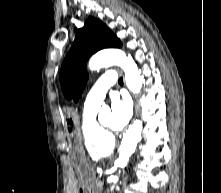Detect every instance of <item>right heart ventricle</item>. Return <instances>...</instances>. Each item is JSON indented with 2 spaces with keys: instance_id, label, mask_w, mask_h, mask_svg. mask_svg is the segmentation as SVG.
<instances>
[{
  "instance_id": "1",
  "label": "right heart ventricle",
  "mask_w": 221,
  "mask_h": 193,
  "mask_svg": "<svg viewBox=\"0 0 221 193\" xmlns=\"http://www.w3.org/2000/svg\"><path fill=\"white\" fill-rule=\"evenodd\" d=\"M96 112L97 110H84L80 127L84 148L92 159L110 155L115 145L113 139L100 129Z\"/></svg>"
}]
</instances>
